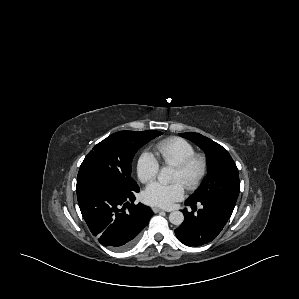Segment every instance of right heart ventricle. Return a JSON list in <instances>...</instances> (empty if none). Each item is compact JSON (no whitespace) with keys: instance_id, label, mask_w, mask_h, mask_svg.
Here are the masks:
<instances>
[{"instance_id":"obj_1","label":"right heart ventricle","mask_w":299,"mask_h":299,"mask_svg":"<svg viewBox=\"0 0 299 299\" xmlns=\"http://www.w3.org/2000/svg\"><path fill=\"white\" fill-rule=\"evenodd\" d=\"M157 155L163 164L176 166L195 154L194 146L180 137H170L158 142L155 146Z\"/></svg>"}]
</instances>
